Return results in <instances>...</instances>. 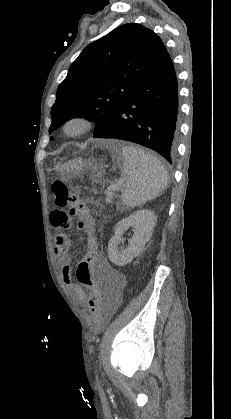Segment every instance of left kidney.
Masks as SVG:
<instances>
[{
    "mask_svg": "<svg viewBox=\"0 0 231 419\" xmlns=\"http://www.w3.org/2000/svg\"><path fill=\"white\" fill-rule=\"evenodd\" d=\"M156 221L154 212L145 209L137 210L129 217L119 221L115 228V234L108 243L110 261L115 265L124 266L137 257L152 236ZM130 227H133L134 234L129 240L128 247L119 251L118 245L123 242L122 235Z\"/></svg>",
    "mask_w": 231,
    "mask_h": 419,
    "instance_id": "5707ae66",
    "label": "left kidney"
}]
</instances>
